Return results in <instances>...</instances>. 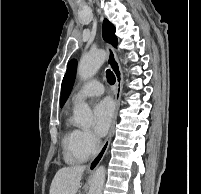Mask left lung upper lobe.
I'll use <instances>...</instances> for the list:
<instances>
[{
    "label": "left lung upper lobe",
    "instance_id": "obj_1",
    "mask_svg": "<svg viewBox=\"0 0 201 194\" xmlns=\"http://www.w3.org/2000/svg\"><path fill=\"white\" fill-rule=\"evenodd\" d=\"M103 38L106 42L112 44L114 47L117 46V38L115 36V27L112 23H110L107 19L103 22ZM76 68H77V61L75 59L71 60L68 63L66 74L62 81V87H61V107L66 102L73 83L75 79L76 74Z\"/></svg>",
    "mask_w": 201,
    "mask_h": 194
}]
</instances>
